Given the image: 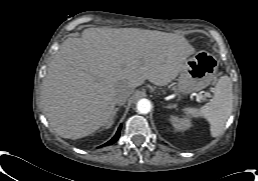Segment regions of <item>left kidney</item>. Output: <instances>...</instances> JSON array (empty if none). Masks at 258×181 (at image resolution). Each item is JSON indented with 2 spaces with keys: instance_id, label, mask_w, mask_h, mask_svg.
<instances>
[{
  "instance_id": "obj_1",
  "label": "left kidney",
  "mask_w": 258,
  "mask_h": 181,
  "mask_svg": "<svg viewBox=\"0 0 258 181\" xmlns=\"http://www.w3.org/2000/svg\"><path fill=\"white\" fill-rule=\"evenodd\" d=\"M169 121L176 131H184L192 126V122L189 118L171 115Z\"/></svg>"
}]
</instances>
